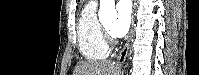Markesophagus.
<instances>
[{"instance_id": "esophagus-1", "label": "esophagus", "mask_w": 199, "mask_h": 75, "mask_svg": "<svg viewBox=\"0 0 199 75\" xmlns=\"http://www.w3.org/2000/svg\"><path fill=\"white\" fill-rule=\"evenodd\" d=\"M135 10H136V0H133V14H132L131 29H130L129 35L127 37V41H126L123 49L121 50V52L119 53L118 58H117V64L120 65V66L123 65L125 60H126L128 50H129V46H130V42H131V38H132V35L134 33V27H135L134 13H135Z\"/></svg>"}]
</instances>
